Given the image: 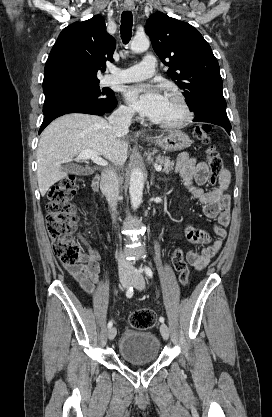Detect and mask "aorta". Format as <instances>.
I'll use <instances>...</instances> for the list:
<instances>
[{"label": "aorta", "mask_w": 272, "mask_h": 417, "mask_svg": "<svg viewBox=\"0 0 272 417\" xmlns=\"http://www.w3.org/2000/svg\"><path fill=\"white\" fill-rule=\"evenodd\" d=\"M150 42L146 36H135L131 42V50L139 53L149 48ZM144 187V174L141 169L135 168L130 176L129 194L131 198V206L135 210L142 202Z\"/></svg>", "instance_id": "aorta-1"}]
</instances>
